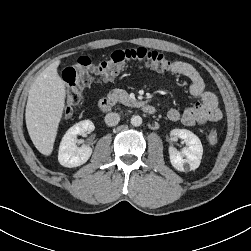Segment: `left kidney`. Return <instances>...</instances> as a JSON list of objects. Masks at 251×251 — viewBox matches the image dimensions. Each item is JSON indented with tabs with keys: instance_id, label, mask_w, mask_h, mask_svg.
Wrapping results in <instances>:
<instances>
[{
	"instance_id": "1",
	"label": "left kidney",
	"mask_w": 251,
	"mask_h": 251,
	"mask_svg": "<svg viewBox=\"0 0 251 251\" xmlns=\"http://www.w3.org/2000/svg\"><path fill=\"white\" fill-rule=\"evenodd\" d=\"M173 138H180L186 144L181 152L175 148H169L170 162L172 166L181 172H188L199 167L203 147L200 139L191 131L186 129H173L170 133Z\"/></svg>"
}]
</instances>
